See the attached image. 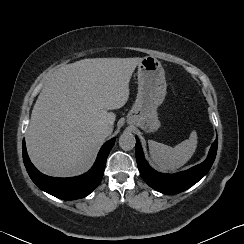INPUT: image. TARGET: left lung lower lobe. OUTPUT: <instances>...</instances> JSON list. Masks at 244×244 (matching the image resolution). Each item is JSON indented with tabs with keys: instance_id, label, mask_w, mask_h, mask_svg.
Returning <instances> with one entry per match:
<instances>
[{
	"instance_id": "left-lung-lower-lobe-1",
	"label": "left lung lower lobe",
	"mask_w": 244,
	"mask_h": 244,
	"mask_svg": "<svg viewBox=\"0 0 244 244\" xmlns=\"http://www.w3.org/2000/svg\"><path fill=\"white\" fill-rule=\"evenodd\" d=\"M217 146L216 140L203 163L176 174H163L152 169L144 158L138 138H136L135 154L140 175L150 187L163 194H176L192 187L207 174L215 160Z\"/></svg>"
}]
</instances>
